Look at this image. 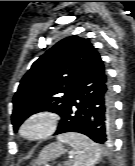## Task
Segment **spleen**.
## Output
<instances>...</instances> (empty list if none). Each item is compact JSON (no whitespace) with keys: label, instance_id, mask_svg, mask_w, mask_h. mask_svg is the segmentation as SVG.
<instances>
[{"label":"spleen","instance_id":"3e777b00","mask_svg":"<svg viewBox=\"0 0 135 166\" xmlns=\"http://www.w3.org/2000/svg\"><path fill=\"white\" fill-rule=\"evenodd\" d=\"M58 141L69 145L74 154L70 166H94L101 158V148L87 136L67 133L57 136Z\"/></svg>","mask_w":135,"mask_h":166}]
</instances>
